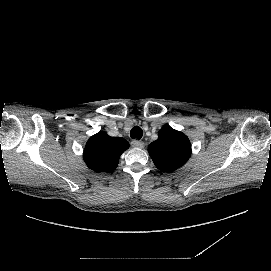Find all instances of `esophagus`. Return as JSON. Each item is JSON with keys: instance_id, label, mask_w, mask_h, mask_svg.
<instances>
[{"instance_id": "obj_1", "label": "esophagus", "mask_w": 271, "mask_h": 271, "mask_svg": "<svg viewBox=\"0 0 271 271\" xmlns=\"http://www.w3.org/2000/svg\"><path fill=\"white\" fill-rule=\"evenodd\" d=\"M144 142L143 141H138V140H133L131 141V146L134 148H143L144 147Z\"/></svg>"}]
</instances>
